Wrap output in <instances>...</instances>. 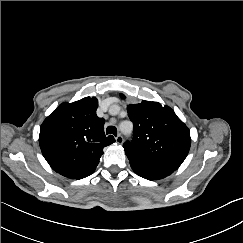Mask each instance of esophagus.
I'll return each instance as SVG.
<instances>
[{"instance_id": "esophagus-1", "label": "esophagus", "mask_w": 243, "mask_h": 243, "mask_svg": "<svg viewBox=\"0 0 243 243\" xmlns=\"http://www.w3.org/2000/svg\"><path fill=\"white\" fill-rule=\"evenodd\" d=\"M115 140L118 144H122L124 142V138L120 134L115 138Z\"/></svg>"}]
</instances>
